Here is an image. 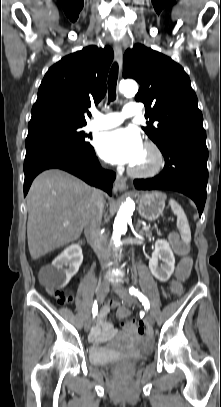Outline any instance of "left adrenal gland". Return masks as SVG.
<instances>
[{
    "label": "left adrenal gland",
    "mask_w": 221,
    "mask_h": 407,
    "mask_svg": "<svg viewBox=\"0 0 221 407\" xmlns=\"http://www.w3.org/2000/svg\"><path fill=\"white\" fill-rule=\"evenodd\" d=\"M139 228H140V223H137V225H136V230L139 231ZM139 233H140V234H143L142 231H139Z\"/></svg>",
    "instance_id": "a2214340"
}]
</instances>
